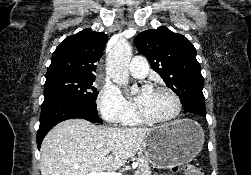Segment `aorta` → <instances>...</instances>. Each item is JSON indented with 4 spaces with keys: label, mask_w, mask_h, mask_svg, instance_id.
Returning a JSON list of instances; mask_svg holds the SVG:
<instances>
[{
    "label": "aorta",
    "mask_w": 251,
    "mask_h": 175,
    "mask_svg": "<svg viewBox=\"0 0 251 175\" xmlns=\"http://www.w3.org/2000/svg\"><path fill=\"white\" fill-rule=\"evenodd\" d=\"M131 58L132 50L128 42H118L107 56L106 72L118 86H126L129 82L128 70Z\"/></svg>",
    "instance_id": "aorta-1"
}]
</instances>
